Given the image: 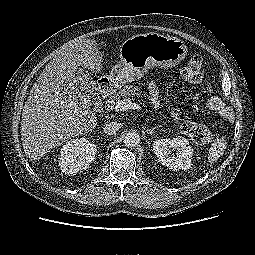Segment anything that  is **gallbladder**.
<instances>
[{
	"instance_id": "obj_1",
	"label": "gallbladder",
	"mask_w": 255,
	"mask_h": 255,
	"mask_svg": "<svg viewBox=\"0 0 255 255\" xmlns=\"http://www.w3.org/2000/svg\"><path fill=\"white\" fill-rule=\"evenodd\" d=\"M74 85L84 96L91 97L96 92V82L84 68H77L74 72Z\"/></svg>"
}]
</instances>
